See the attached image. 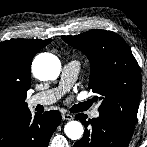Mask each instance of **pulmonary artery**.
<instances>
[{"label":"pulmonary artery","mask_w":147,"mask_h":147,"mask_svg":"<svg viewBox=\"0 0 147 147\" xmlns=\"http://www.w3.org/2000/svg\"><path fill=\"white\" fill-rule=\"evenodd\" d=\"M79 63L77 61H70L66 63L62 69L61 80L58 87L34 94L28 99L30 107L38 104L48 105L52 104L68 92L74 82L76 81L79 72ZM99 116L98 107H95L91 112V117L97 118Z\"/></svg>","instance_id":"pulmonary-artery-1"}]
</instances>
